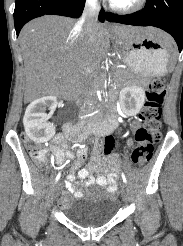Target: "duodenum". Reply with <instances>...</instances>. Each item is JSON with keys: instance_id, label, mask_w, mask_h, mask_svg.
Instances as JSON below:
<instances>
[{"instance_id": "410a0bca", "label": "duodenum", "mask_w": 183, "mask_h": 246, "mask_svg": "<svg viewBox=\"0 0 183 246\" xmlns=\"http://www.w3.org/2000/svg\"><path fill=\"white\" fill-rule=\"evenodd\" d=\"M75 132H76V128L74 125H67L65 128V134L70 137L73 138L75 136ZM88 136H85V133H78V136L75 137L76 141H88ZM91 143L93 144V148L95 151H100L101 150V145L99 143L98 139H92Z\"/></svg>"}]
</instances>
